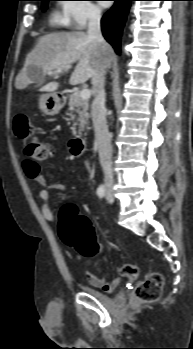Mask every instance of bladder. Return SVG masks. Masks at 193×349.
Instances as JSON below:
<instances>
[{
  "label": "bladder",
  "instance_id": "bladder-1",
  "mask_svg": "<svg viewBox=\"0 0 193 349\" xmlns=\"http://www.w3.org/2000/svg\"><path fill=\"white\" fill-rule=\"evenodd\" d=\"M86 292H88L90 295H92L94 298H96L97 300H99L100 302H108L109 297L105 294V292L93 288V287H87ZM120 297H123L122 295H120Z\"/></svg>",
  "mask_w": 193,
  "mask_h": 349
}]
</instances>
